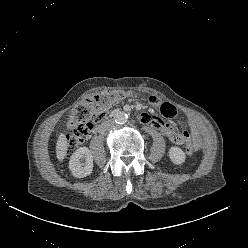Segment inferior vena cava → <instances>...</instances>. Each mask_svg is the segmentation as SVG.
Returning a JSON list of instances; mask_svg holds the SVG:
<instances>
[{
    "label": "inferior vena cava",
    "mask_w": 248,
    "mask_h": 248,
    "mask_svg": "<svg viewBox=\"0 0 248 248\" xmlns=\"http://www.w3.org/2000/svg\"><path fill=\"white\" fill-rule=\"evenodd\" d=\"M113 124H114L113 120H108V121L103 122L99 127L101 131H106L109 128H111Z\"/></svg>",
    "instance_id": "obj_1"
}]
</instances>
